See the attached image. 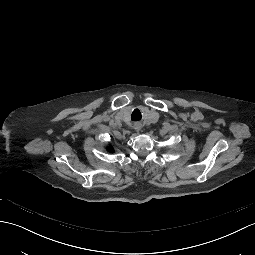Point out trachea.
I'll return each mask as SVG.
<instances>
[{"label":"trachea","instance_id":"trachea-1","mask_svg":"<svg viewBox=\"0 0 255 255\" xmlns=\"http://www.w3.org/2000/svg\"><path fill=\"white\" fill-rule=\"evenodd\" d=\"M142 119L141 112L138 109H135L131 115L132 121H140Z\"/></svg>","mask_w":255,"mask_h":255}]
</instances>
